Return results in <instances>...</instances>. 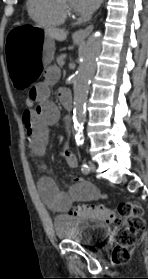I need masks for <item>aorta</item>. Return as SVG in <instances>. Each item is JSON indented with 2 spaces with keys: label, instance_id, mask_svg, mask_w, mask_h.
<instances>
[{
  "label": "aorta",
  "instance_id": "1",
  "mask_svg": "<svg viewBox=\"0 0 148 279\" xmlns=\"http://www.w3.org/2000/svg\"><path fill=\"white\" fill-rule=\"evenodd\" d=\"M102 46L101 34L93 33L87 40L82 52V58L75 76L73 120L76 139L82 141V127L85 121V105L89 83L96 69L97 58Z\"/></svg>",
  "mask_w": 148,
  "mask_h": 279
}]
</instances>
